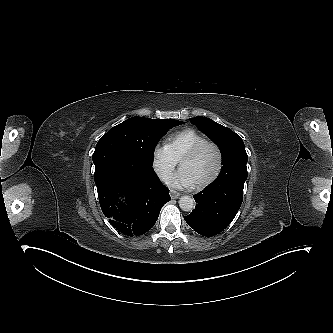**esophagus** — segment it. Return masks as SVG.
<instances>
[{"label":"esophagus","mask_w":333,"mask_h":333,"mask_svg":"<svg viewBox=\"0 0 333 333\" xmlns=\"http://www.w3.org/2000/svg\"><path fill=\"white\" fill-rule=\"evenodd\" d=\"M170 196L172 199H177L180 196V193H178L177 191L171 189L170 190Z\"/></svg>","instance_id":"1"}]
</instances>
